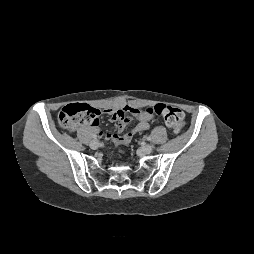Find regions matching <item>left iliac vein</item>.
Masks as SVG:
<instances>
[{
  "mask_svg": "<svg viewBox=\"0 0 254 254\" xmlns=\"http://www.w3.org/2000/svg\"><path fill=\"white\" fill-rule=\"evenodd\" d=\"M141 150L145 154H150L153 150V147L150 144H145L141 147Z\"/></svg>",
  "mask_w": 254,
  "mask_h": 254,
  "instance_id": "4c4485c4",
  "label": "left iliac vein"
}]
</instances>
